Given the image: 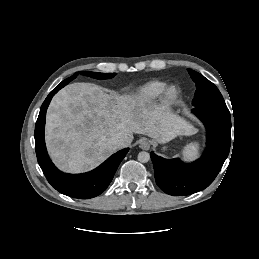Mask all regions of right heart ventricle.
<instances>
[{"label":"right heart ventricle","mask_w":259,"mask_h":259,"mask_svg":"<svg viewBox=\"0 0 259 259\" xmlns=\"http://www.w3.org/2000/svg\"><path fill=\"white\" fill-rule=\"evenodd\" d=\"M166 86L167 83L162 80L148 81L135 91L133 101L139 107H149L161 98Z\"/></svg>","instance_id":"obj_1"}]
</instances>
